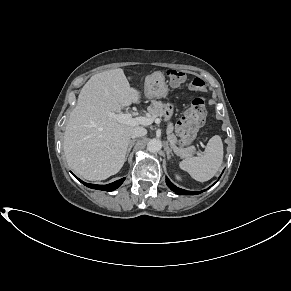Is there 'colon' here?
<instances>
[{
    "mask_svg": "<svg viewBox=\"0 0 291 291\" xmlns=\"http://www.w3.org/2000/svg\"><path fill=\"white\" fill-rule=\"evenodd\" d=\"M166 75L175 85L181 84L186 78L183 72L175 69L168 70ZM199 85L200 80H194L193 86L196 87ZM205 115V99L203 96H198L193 100L191 107L185 113V116L178 127V134L182 143L190 144L194 140L198 128L205 121Z\"/></svg>",
    "mask_w": 291,
    "mask_h": 291,
    "instance_id": "colon-1",
    "label": "colon"
}]
</instances>
